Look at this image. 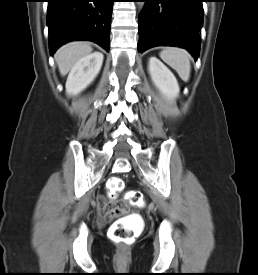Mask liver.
<instances>
[{
  "instance_id": "6515ba94",
  "label": "liver",
  "mask_w": 258,
  "mask_h": 275,
  "mask_svg": "<svg viewBox=\"0 0 258 275\" xmlns=\"http://www.w3.org/2000/svg\"><path fill=\"white\" fill-rule=\"evenodd\" d=\"M92 47L86 42H71L62 46L55 54L60 74L65 76L81 58L90 54Z\"/></svg>"
}]
</instances>
